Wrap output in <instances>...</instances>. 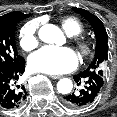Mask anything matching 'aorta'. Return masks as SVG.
Segmentation results:
<instances>
[{"label":"aorta","mask_w":117,"mask_h":117,"mask_svg":"<svg viewBox=\"0 0 117 117\" xmlns=\"http://www.w3.org/2000/svg\"><path fill=\"white\" fill-rule=\"evenodd\" d=\"M39 38L45 43L60 44L64 40V35L59 27L46 24L40 28ZM72 88L73 83L68 78L60 79L57 83V90L61 94H69Z\"/></svg>","instance_id":"762f6f07"}]
</instances>
